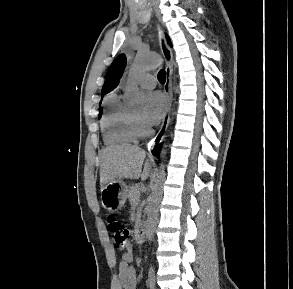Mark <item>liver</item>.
<instances>
[{
    "label": "liver",
    "mask_w": 293,
    "mask_h": 289,
    "mask_svg": "<svg viewBox=\"0 0 293 289\" xmlns=\"http://www.w3.org/2000/svg\"><path fill=\"white\" fill-rule=\"evenodd\" d=\"M146 152L130 144L106 147L100 156L101 188L117 178L139 179L145 181L150 174L151 165L146 161L142 170Z\"/></svg>",
    "instance_id": "liver-1"
}]
</instances>
